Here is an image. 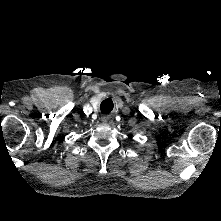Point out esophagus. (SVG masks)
<instances>
[{
    "instance_id": "esophagus-1",
    "label": "esophagus",
    "mask_w": 221,
    "mask_h": 221,
    "mask_svg": "<svg viewBox=\"0 0 221 221\" xmlns=\"http://www.w3.org/2000/svg\"><path fill=\"white\" fill-rule=\"evenodd\" d=\"M101 120H102V122H105V121H106L104 117H103Z\"/></svg>"
}]
</instances>
